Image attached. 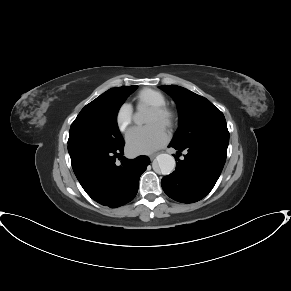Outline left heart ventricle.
Here are the masks:
<instances>
[{"label":"left heart ventricle","mask_w":291,"mask_h":291,"mask_svg":"<svg viewBox=\"0 0 291 291\" xmlns=\"http://www.w3.org/2000/svg\"><path fill=\"white\" fill-rule=\"evenodd\" d=\"M155 123H159L162 125V122H161L159 116L155 112L150 110L148 113L147 119H146V124L151 125V124H155Z\"/></svg>","instance_id":"obj_1"}]
</instances>
